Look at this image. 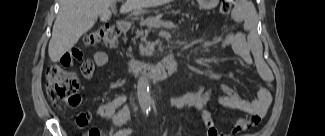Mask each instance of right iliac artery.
I'll list each match as a JSON object with an SVG mask.
<instances>
[{
	"instance_id": "82829eb1",
	"label": "right iliac artery",
	"mask_w": 325,
	"mask_h": 136,
	"mask_svg": "<svg viewBox=\"0 0 325 136\" xmlns=\"http://www.w3.org/2000/svg\"><path fill=\"white\" fill-rule=\"evenodd\" d=\"M130 133H131V129L121 130L116 133V136H126L129 135Z\"/></svg>"
}]
</instances>
